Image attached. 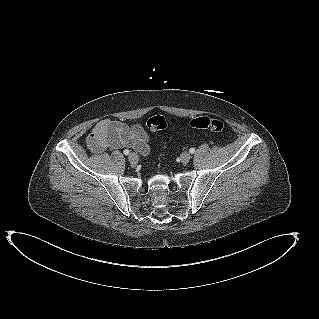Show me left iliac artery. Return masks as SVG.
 <instances>
[{
	"mask_svg": "<svg viewBox=\"0 0 319 319\" xmlns=\"http://www.w3.org/2000/svg\"><path fill=\"white\" fill-rule=\"evenodd\" d=\"M189 152L193 154L195 152V148H190Z\"/></svg>",
	"mask_w": 319,
	"mask_h": 319,
	"instance_id": "left-iliac-artery-1",
	"label": "left iliac artery"
}]
</instances>
